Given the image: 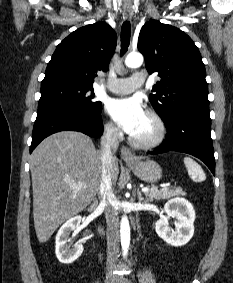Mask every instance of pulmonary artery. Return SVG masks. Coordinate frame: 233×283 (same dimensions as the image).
Listing matches in <instances>:
<instances>
[{"label": "pulmonary artery", "instance_id": "pulmonary-artery-1", "mask_svg": "<svg viewBox=\"0 0 233 283\" xmlns=\"http://www.w3.org/2000/svg\"><path fill=\"white\" fill-rule=\"evenodd\" d=\"M144 76L140 72H135L129 78H117L112 79L108 85L107 89L116 94H129L144 84Z\"/></svg>", "mask_w": 233, "mask_h": 283}]
</instances>
